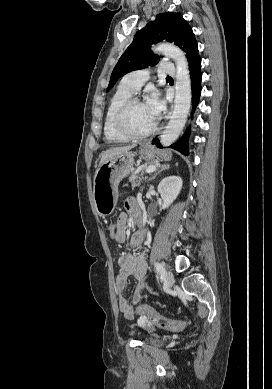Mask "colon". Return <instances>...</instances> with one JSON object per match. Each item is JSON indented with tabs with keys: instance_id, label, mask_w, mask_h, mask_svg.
Listing matches in <instances>:
<instances>
[{
	"instance_id": "1",
	"label": "colon",
	"mask_w": 272,
	"mask_h": 389,
	"mask_svg": "<svg viewBox=\"0 0 272 389\" xmlns=\"http://www.w3.org/2000/svg\"><path fill=\"white\" fill-rule=\"evenodd\" d=\"M108 232L112 239L118 233L116 223H112L108 226ZM137 311L141 313L150 324L165 330L179 331L185 328L186 321L183 320H172L158 314L153 308L146 304H140L137 307Z\"/></svg>"
}]
</instances>
